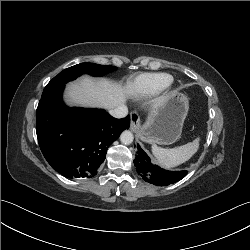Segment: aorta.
<instances>
[{
	"label": "aorta",
	"mask_w": 250,
	"mask_h": 250,
	"mask_svg": "<svg viewBox=\"0 0 250 250\" xmlns=\"http://www.w3.org/2000/svg\"><path fill=\"white\" fill-rule=\"evenodd\" d=\"M133 139L134 137L132 132L128 130L123 131L120 135V141L125 145L131 144L133 142Z\"/></svg>",
	"instance_id": "1"
}]
</instances>
